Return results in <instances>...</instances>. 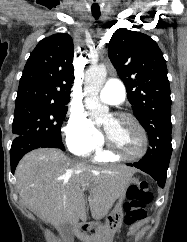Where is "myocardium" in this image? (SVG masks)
Listing matches in <instances>:
<instances>
[{"instance_id": "myocardium-1", "label": "myocardium", "mask_w": 187, "mask_h": 242, "mask_svg": "<svg viewBox=\"0 0 187 242\" xmlns=\"http://www.w3.org/2000/svg\"><path fill=\"white\" fill-rule=\"evenodd\" d=\"M113 117L117 120H121V121H128L130 123H132L140 132L141 138H142V148L141 150L136 153V154H128V153H124L118 149H116L111 142L109 141L107 135L105 136V151L117 158V159H125V160H136V159H140L142 158L148 151L149 148V139H148V134L145 130V128L143 127V125L138 121V119L136 117H134L133 115L126 113V112H117L113 115Z\"/></svg>"}]
</instances>
